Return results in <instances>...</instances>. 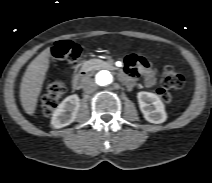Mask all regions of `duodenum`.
I'll list each match as a JSON object with an SVG mask.
<instances>
[{"instance_id": "obj_1", "label": "duodenum", "mask_w": 212, "mask_h": 183, "mask_svg": "<svg viewBox=\"0 0 212 183\" xmlns=\"http://www.w3.org/2000/svg\"><path fill=\"white\" fill-rule=\"evenodd\" d=\"M89 76V70L84 68L80 70L73 79V85L76 89H81Z\"/></svg>"}]
</instances>
